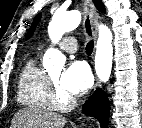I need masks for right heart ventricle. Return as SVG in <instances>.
I'll return each mask as SVG.
<instances>
[{
  "instance_id": "e07e8e85",
  "label": "right heart ventricle",
  "mask_w": 142,
  "mask_h": 128,
  "mask_svg": "<svg viewBox=\"0 0 142 128\" xmlns=\"http://www.w3.org/2000/svg\"><path fill=\"white\" fill-rule=\"evenodd\" d=\"M18 101L31 108L51 107L49 77L35 61L28 62L19 75Z\"/></svg>"
}]
</instances>
